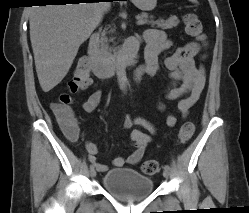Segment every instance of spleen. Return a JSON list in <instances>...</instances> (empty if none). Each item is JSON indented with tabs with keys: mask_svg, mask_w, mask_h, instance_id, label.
Returning a JSON list of instances; mask_svg holds the SVG:
<instances>
[{
	"mask_svg": "<svg viewBox=\"0 0 249 213\" xmlns=\"http://www.w3.org/2000/svg\"><path fill=\"white\" fill-rule=\"evenodd\" d=\"M190 2L197 3V0H189Z\"/></svg>",
	"mask_w": 249,
	"mask_h": 213,
	"instance_id": "spleen-1",
	"label": "spleen"
}]
</instances>
